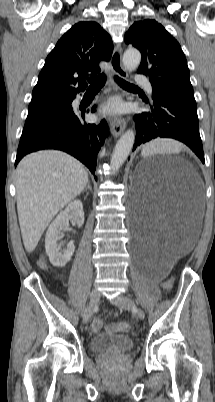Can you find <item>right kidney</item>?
<instances>
[{
  "mask_svg": "<svg viewBox=\"0 0 215 402\" xmlns=\"http://www.w3.org/2000/svg\"><path fill=\"white\" fill-rule=\"evenodd\" d=\"M74 220L78 225L84 223L83 205L80 200H74L61 211L49 226L45 238V250L50 262L56 267H64L75 251L74 241H70L65 249H61L58 241L61 239V231L64 230L69 220Z\"/></svg>",
  "mask_w": 215,
  "mask_h": 402,
  "instance_id": "right-kidney-1",
  "label": "right kidney"
}]
</instances>
